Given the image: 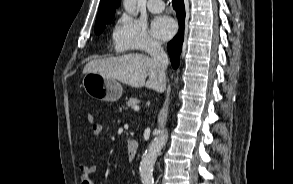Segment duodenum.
Returning <instances> with one entry per match:
<instances>
[{
	"mask_svg": "<svg viewBox=\"0 0 293 184\" xmlns=\"http://www.w3.org/2000/svg\"><path fill=\"white\" fill-rule=\"evenodd\" d=\"M139 145L138 142L135 140H130L128 142V146H127V153H128V159L130 161L134 160L137 151H138Z\"/></svg>",
	"mask_w": 293,
	"mask_h": 184,
	"instance_id": "duodenum-1",
	"label": "duodenum"
}]
</instances>
